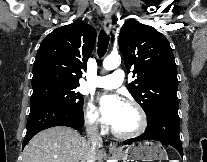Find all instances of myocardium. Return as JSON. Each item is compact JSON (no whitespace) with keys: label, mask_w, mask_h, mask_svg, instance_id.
Wrapping results in <instances>:
<instances>
[{"label":"myocardium","mask_w":207,"mask_h":162,"mask_svg":"<svg viewBox=\"0 0 207 162\" xmlns=\"http://www.w3.org/2000/svg\"><path fill=\"white\" fill-rule=\"evenodd\" d=\"M124 103L133 106L137 110L139 118H140L139 126L131 132H121L115 129L113 126L111 130H112V133L118 138H124V139L134 138L145 131L148 125L147 115H146L144 108L141 106V104L137 100L133 98H127L124 100Z\"/></svg>","instance_id":"myocardium-1"}]
</instances>
